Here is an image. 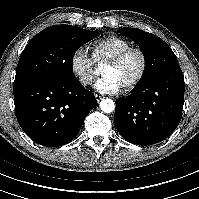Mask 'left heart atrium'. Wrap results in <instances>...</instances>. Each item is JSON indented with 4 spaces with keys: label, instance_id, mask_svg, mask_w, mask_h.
I'll return each mask as SVG.
<instances>
[{
    "label": "left heart atrium",
    "instance_id": "39dd6f15",
    "mask_svg": "<svg viewBox=\"0 0 199 199\" xmlns=\"http://www.w3.org/2000/svg\"><path fill=\"white\" fill-rule=\"evenodd\" d=\"M122 88L121 84L113 77L105 76L98 80L95 89L101 93L115 94Z\"/></svg>",
    "mask_w": 199,
    "mask_h": 199
}]
</instances>
